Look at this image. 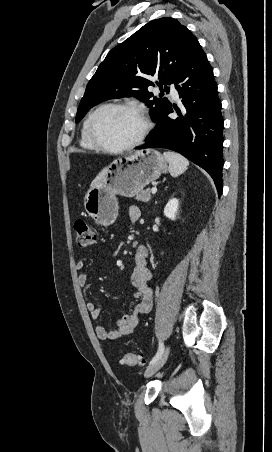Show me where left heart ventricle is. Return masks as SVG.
I'll list each match as a JSON object with an SVG mask.
<instances>
[{"instance_id": "left-heart-ventricle-1", "label": "left heart ventricle", "mask_w": 272, "mask_h": 452, "mask_svg": "<svg viewBox=\"0 0 272 452\" xmlns=\"http://www.w3.org/2000/svg\"><path fill=\"white\" fill-rule=\"evenodd\" d=\"M98 137L110 146H123L132 142L139 134L142 124L133 113L121 109H108L95 121Z\"/></svg>"}]
</instances>
